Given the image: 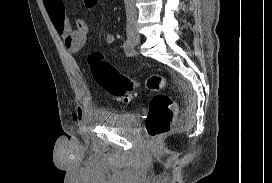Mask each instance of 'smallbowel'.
I'll return each mask as SVG.
<instances>
[{"label": "small bowel", "mask_w": 272, "mask_h": 183, "mask_svg": "<svg viewBox=\"0 0 272 183\" xmlns=\"http://www.w3.org/2000/svg\"><path fill=\"white\" fill-rule=\"evenodd\" d=\"M43 3L56 31L61 35L66 49L71 53H78L86 43L89 31L88 23L83 19H78L73 27L66 16L64 0H43ZM114 41V34L107 33L105 35L104 42L107 45L113 44ZM73 120L82 122L81 111L73 113Z\"/></svg>", "instance_id": "obj_1"}]
</instances>
